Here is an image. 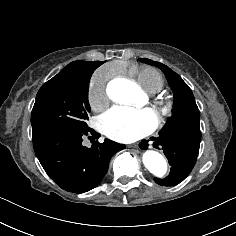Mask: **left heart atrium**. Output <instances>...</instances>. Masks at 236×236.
I'll return each instance as SVG.
<instances>
[{"label":"left heart atrium","instance_id":"obj_1","mask_svg":"<svg viewBox=\"0 0 236 236\" xmlns=\"http://www.w3.org/2000/svg\"><path fill=\"white\" fill-rule=\"evenodd\" d=\"M156 114L149 108L114 106L101 117L100 127L109 138L119 142L135 141L153 130Z\"/></svg>","mask_w":236,"mask_h":236}]
</instances>
